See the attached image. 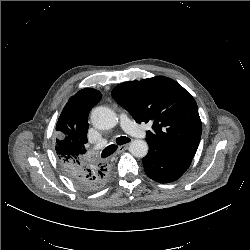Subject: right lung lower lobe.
Masks as SVG:
<instances>
[{"label":"right lung lower lobe","mask_w":250,"mask_h":250,"mask_svg":"<svg viewBox=\"0 0 250 250\" xmlns=\"http://www.w3.org/2000/svg\"><path fill=\"white\" fill-rule=\"evenodd\" d=\"M64 172L76 186L83 190L101 188L109 178V167L107 164H101L99 169L88 166L73 170L64 169Z\"/></svg>","instance_id":"right-lung-lower-lobe-1"}]
</instances>
